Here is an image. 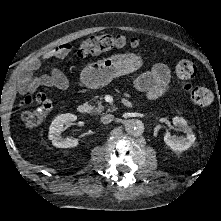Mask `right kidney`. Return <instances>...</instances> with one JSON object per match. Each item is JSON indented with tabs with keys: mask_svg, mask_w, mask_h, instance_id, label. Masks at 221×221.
I'll return each mask as SVG.
<instances>
[{
	"mask_svg": "<svg viewBox=\"0 0 221 221\" xmlns=\"http://www.w3.org/2000/svg\"><path fill=\"white\" fill-rule=\"evenodd\" d=\"M77 119L76 115L66 113L57 116L49 127L48 138L52 141V144L58 148H73L79 144L78 139L62 138L61 132L64 130L63 125L73 122Z\"/></svg>",
	"mask_w": 221,
	"mask_h": 221,
	"instance_id": "1",
	"label": "right kidney"
}]
</instances>
